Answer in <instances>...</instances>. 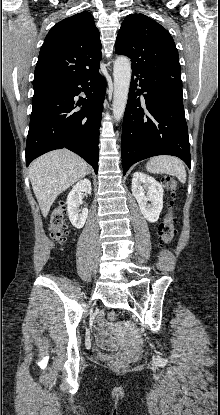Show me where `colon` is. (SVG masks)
Instances as JSON below:
<instances>
[{"label":"colon","instance_id":"obj_1","mask_svg":"<svg viewBox=\"0 0 220 415\" xmlns=\"http://www.w3.org/2000/svg\"><path fill=\"white\" fill-rule=\"evenodd\" d=\"M164 187L171 193H174L177 184L172 178L166 177L163 179ZM175 216L173 212V202L170 201L169 207L165 213L164 219L159 225V236L163 244H169L175 234ZM50 232L51 237L57 242H64L69 235V226L65 218V206L60 204L55 207L50 217ZM118 314L116 311L111 310L107 313V319L113 323L116 321ZM128 362L123 359H114L110 362V366L116 370H124L128 367Z\"/></svg>","mask_w":220,"mask_h":415}]
</instances>
